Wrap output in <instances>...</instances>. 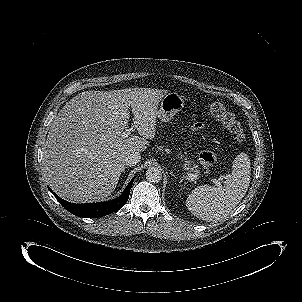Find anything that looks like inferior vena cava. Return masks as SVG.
Listing matches in <instances>:
<instances>
[{
  "mask_svg": "<svg viewBox=\"0 0 302 302\" xmlns=\"http://www.w3.org/2000/svg\"><path fill=\"white\" fill-rule=\"evenodd\" d=\"M140 159H141V156H140V153L139 152H129L125 159H124V163L125 165L127 166H134L136 165L137 163L140 162Z\"/></svg>",
  "mask_w": 302,
  "mask_h": 302,
  "instance_id": "inferior-vena-cava-1",
  "label": "inferior vena cava"
}]
</instances>
